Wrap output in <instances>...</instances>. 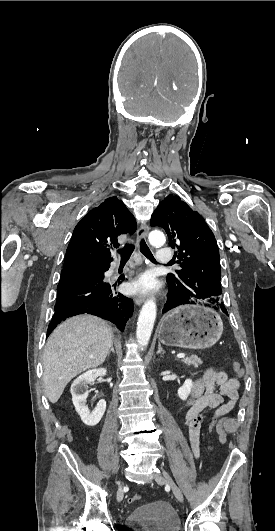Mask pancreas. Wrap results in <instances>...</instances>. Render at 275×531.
<instances>
[{
    "label": "pancreas",
    "instance_id": "pancreas-1",
    "mask_svg": "<svg viewBox=\"0 0 275 531\" xmlns=\"http://www.w3.org/2000/svg\"><path fill=\"white\" fill-rule=\"evenodd\" d=\"M182 363H185V365H188V367H199V365H202L201 359L199 357H196V355H191V357H186V359H182Z\"/></svg>",
    "mask_w": 275,
    "mask_h": 531
}]
</instances>
